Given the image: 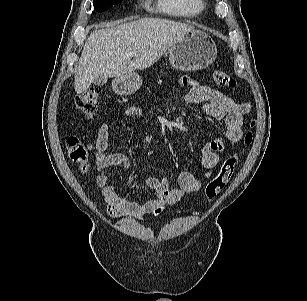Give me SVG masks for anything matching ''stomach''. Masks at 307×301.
<instances>
[{
	"label": "stomach",
	"mask_w": 307,
	"mask_h": 301,
	"mask_svg": "<svg viewBox=\"0 0 307 301\" xmlns=\"http://www.w3.org/2000/svg\"><path fill=\"white\" fill-rule=\"evenodd\" d=\"M217 48L211 37L201 30H190L181 35L169 49L171 66L180 71H197L208 68L216 59ZM142 85L138 73L116 77L112 89L119 95H129Z\"/></svg>",
	"instance_id": "0dacf381"
}]
</instances>
